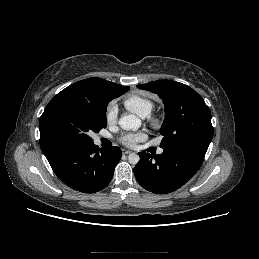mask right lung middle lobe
Instances as JSON below:
<instances>
[{"label":"right lung middle lobe","instance_id":"obj_1","mask_svg":"<svg viewBox=\"0 0 259 259\" xmlns=\"http://www.w3.org/2000/svg\"><path fill=\"white\" fill-rule=\"evenodd\" d=\"M114 91L108 101L125 93ZM86 103L69 95H56L47 105L40 119V146L43 152L67 145L92 144L91 132L107 126L106 108ZM42 130V131H41Z\"/></svg>","mask_w":259,"mask_h":259}]
</instances>
